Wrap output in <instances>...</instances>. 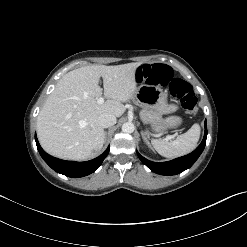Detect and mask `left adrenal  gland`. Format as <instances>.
<instances>
[{"mask_svg": "<svg viewBox=\"0 0 247 247\" xmlns=\"http://www.w3.org/2000/svg\"><path fill=\"white\" fill-rule=\"evenodd\" d=\"M141 134H142V138H143L144 142L150 147V143H149V141H148V139H147V137L145 136V134H144L143 131L141 132Z\"/></svg>", "mask_w": 247, "mask_h": 247, "instance_id": "left-adrenal-gland-1", "label": "left adrenal gland"}]
</instances>
